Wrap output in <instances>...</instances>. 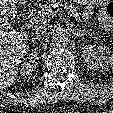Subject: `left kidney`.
Listing matches in <instances>:
<instances>
[{"label": "left kidney", "instance_id": "1", "mask_svg": "<svg viewBox=\"0 0 113 113\" xmlns=\"http://www.w3.org/2000/svg\"><path fill=\"white\" fill-rule=\"evenodd\" d=\"M82 56L91 70L104 72L108 69L109 62L112 58L110 50L107 47L88 44L82 48Z\"/></svg>", "mask_w": 113, "mask_h": 113}]
</instances>
